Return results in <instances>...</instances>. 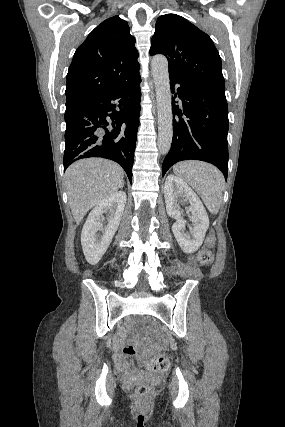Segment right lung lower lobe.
I'll list each match as a JSON object with an SVG mask.
<instances>
[{
	"label": "right lung lower lobe",
	"mask_w": 285,
	"mask_h": 427,
	"mask_svg": "<svg viewBox=\"0 0 285 427\" xmlns=\"http://www.w3.org/2000/svg\"><path fill=\"white\" fill-rule=\"evenodd\" d=\"M140 82L139 75L117 90L66 106L64 170L79 159L102 157L119 163L132 182Z\"/></svg>",
	"instance_id": "98d812e1"
}]
</instances>
